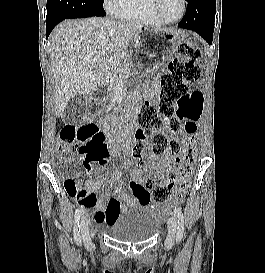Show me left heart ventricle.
Listing matches in <instances>:
<instances>
[{
    "instance_id": "obj_1",
    "label": "left heart ventricle",
    "mask_w": 265,
    "mask_h": 273,
    "mask_svg": "<svg viewBox=\"0 0 265 273\" xmlns=\"http://www.w3.org/2000/svg\"><path fill=\"white\" fill-rule=\"evenodd\" d=\"M160 11L165 18L176 19L182 12V2L181 0H160Z\"/></svg>"
}]
</instances>
